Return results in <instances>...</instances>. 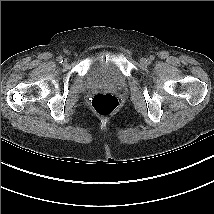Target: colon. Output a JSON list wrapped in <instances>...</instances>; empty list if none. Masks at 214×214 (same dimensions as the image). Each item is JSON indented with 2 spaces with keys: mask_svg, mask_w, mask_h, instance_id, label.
Segmentation results:
<instances>
[{
  "mask_svg": "<svg viewBox=\"0 0 214 214\" xmlns=\"http://www.w3.org/2000/svg\"><path fill=\"white\" fill-rule=\"evenodd\" d=\"M119 106L118 98L112 93H99L92 99V107L100 115H109Z\"/></svg>",
  "mask_w": 214,
  "mask_h": 214,
  "instance_id": "colon-1",
  "label": "colon"
}]
</instances>
